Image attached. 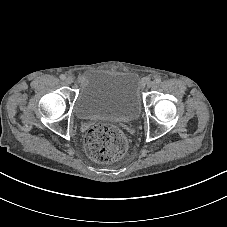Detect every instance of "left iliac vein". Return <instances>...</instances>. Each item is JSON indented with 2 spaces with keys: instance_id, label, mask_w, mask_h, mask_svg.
<instances>
[{
  "instance_id": "1",
  "label": "left iliac vein",
  "mask_w": 227,
  "mask_h": 227,
  "mask_svg": "<svg viewBox=\"0 0 227 227\" xmlns=\"http://www.w3.org/2000/svg\"><path fill=\"white\" fill-rule=\"evenodd\" d=\"M155 85H156V84H155L154 81H151V82L148 83V87H149V88H152V87H154Z\"/></svg>"
}]
</instances>
